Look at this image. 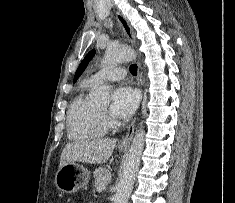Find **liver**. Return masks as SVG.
Instances as JSON below:
<instances>
[{
    "label": "liver",
    "instance_id": "liver-1",
    "mask_svg": "<svg viewBox=\"0 0 235 203\" xmlns=\"http://www.w3.org/2000/svg\"><path fill=\"white\" fill-rule=\"evenodd\" d=\"M116 142V139L94 138L68 143L61 153L59 168L75 162L105 163L112 155Z\"/></svg>",
    "mask_w": 235,
    "mask_h": 203
}]
</instances>
